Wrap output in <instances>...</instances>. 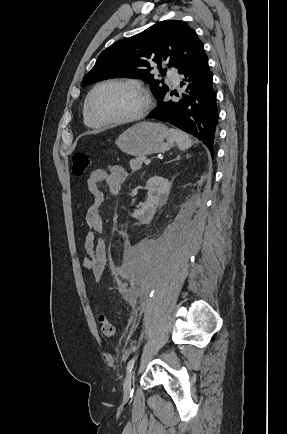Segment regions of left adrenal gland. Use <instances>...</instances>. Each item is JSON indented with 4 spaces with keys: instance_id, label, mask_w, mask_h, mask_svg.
Here are the masks:
<instances>
[{
    "instance_id": "a2214340",
    "label": "left adrenal gland",
    "mask_w": 287,
    "mask_h": 434,
    "mask_svg": "<svg viewBox=\"0 0 287 434\" xmlns=\"http://www.w3.org/2000/svg\"><path fill=\"white\" fill-rule=\"evenodd\" d=\"M179 159H180V155H178V156L176 157V159L171 160V161H169V162H172V161H175V160H179Z\"/></svg>"
}]
</instances>
